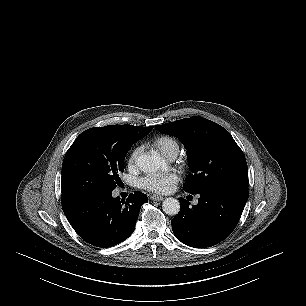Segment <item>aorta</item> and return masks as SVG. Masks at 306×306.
Instances as JSON below:
<instances>
[{"instance_id":"762f6f07","label":"aorta","mask_w":306,"mask_h":306,"mask_svg":"<svg viewBox=\"0 0 306 306\" xmlns=\"http://www.w3.org/2000/svg\"><path fill=\"white\" fill-rule=\"evenodd\" d=\"M139 169L145 173H155L163 165L160 157L150 154H143L137 160ZM163 211L168 215H176L180 211V203L177 199L169 197L162 203Z\"/></svg>"}]
</instances>
